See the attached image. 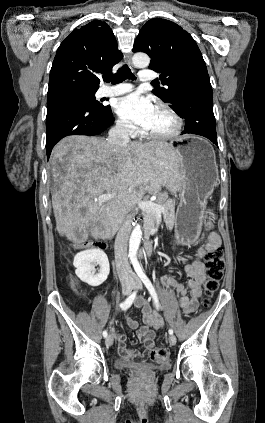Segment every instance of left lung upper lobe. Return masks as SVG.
Segmentation results:
<instances>
[{
    "instance_id": "obj_1",
    "label": "left lung upper lobe",
    "mask_w": 265,
    "mask_h": 423,
    "mask_svg": "<svg viewBox=\"0 0 265 423\" xmlns=\"http://www.w3.org/2000/svg\"><path fill=\"white\" fill-rule=\"evenodd\" d=\"M145 52L151 57L149 68L160 73L167 88L153 93L164 102L177 106L176 91L187 79L208 73L202 54L192 36L182 27L166 19L154 18L140 30L133 52Z\"/></svg>"
}]
</instances>
